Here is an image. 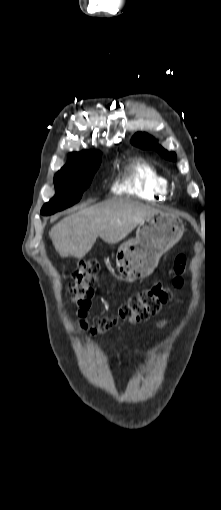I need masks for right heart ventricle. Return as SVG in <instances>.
Returning a JSON list of instances; mask_svg holds the SVG:
<instances>
[{"label": "right heart ventricle", "instance_id": "e07e8e85", "mask_svg": "<svg viewBox=\"0 0 221 510\" xmlns=\"http://www.w3.org/2000/svg\"><path fill=\"white\" fill-rule=\"evenodd\" d=\"M116 194H126L158 202L169 193L168 179L152 164L135 159L126 168L121 180L113 187Z\"/></svg>", "mask_w": 221, "mask_h": 510}]
</instances>
